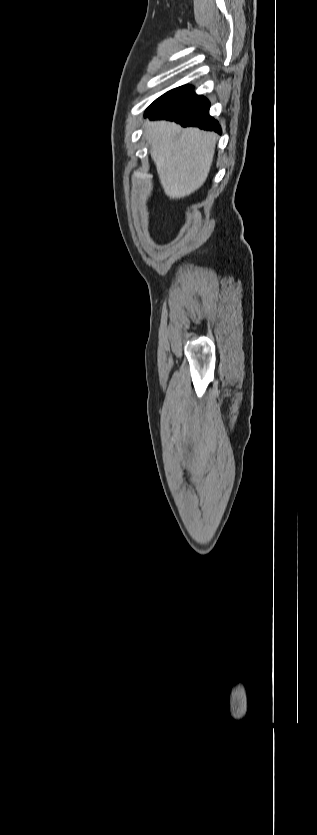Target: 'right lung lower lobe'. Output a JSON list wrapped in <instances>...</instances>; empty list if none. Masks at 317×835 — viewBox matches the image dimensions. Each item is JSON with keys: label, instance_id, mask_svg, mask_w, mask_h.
Masks as SVG:
<instances>
[{"label": "right lung lower lobe", "instance_id": "right-lung-lower-lobe-1", "mask_svg": "<svg viewBox=\"0 0 317 835\" xmlns=\"http://www.w3.org/2000/svg\"><path fill=\"white\" fill-rule=\"evenodd\" d=\"M210 103L203 96L187 93L156 110L148 112L150 119H167L182 126H196L204 130H213L221 134L219 123L209 115Z\"/></svg>", "mask_w": 317, "mask_h": 835}]
</instances>
